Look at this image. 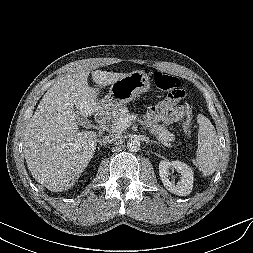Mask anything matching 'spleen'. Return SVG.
<instances>
[{
  "label": "spleen",
  "instance_id": "spleen-1",
  "mask_svg": "<svg viewBox=\"0 0 253 253\" xmlns=\"http://www.w3.org/2000/svg\"><path fill=\"white\" fill-rule=\"evenodd\" d=\"M198 149L193 163L204 176L212 175L218 165L221 149L215 128L210 120L204 115L197 117Z\"/></svg>",
  "mask_w": 253,
  "mask_h": 253
}]
</instances>
